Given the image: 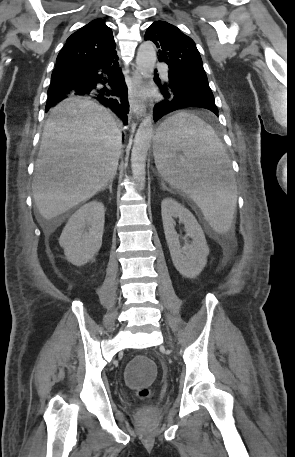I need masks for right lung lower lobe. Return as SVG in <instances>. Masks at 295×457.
Instances as JSON below:
<instances>
[{"label": "right lung lower lobe", "mask_w": 295, "mask_h": 457, "mask_svg": "<svg viewBox=\"0 0 295 457\" xmlns=\"http://www.w3.org/2000/svg\"><path fill=\"white\" fill-rule=\"evenodd\" d=\"M70 95L95 98L123 121L127 120V86L119 67L117 52L90 64L55 68L45 111Z\"/></svg>", "instance_id": "1"}]
</instances>
